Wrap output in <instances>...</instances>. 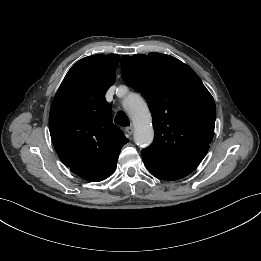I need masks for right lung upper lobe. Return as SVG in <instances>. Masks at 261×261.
<instances>
[{
	"mask_svg": "<svg viewBox=\"0 0 261 261\" xmlns=\"http://www.w3.org/2000/svg\"><path fill=\"white\" fill-rule=\"evenodd\" d=\"M118 64L117 54L79 60L66 74L50 109L49 130L60 160L91 182L115 171L120 150L128 142L113 123L105 100Z\"/></svg>",
	"mask_w": 261,
	"mask_h": 261,
	"instance_id": "1",
	"label": "right lung upper lobe"
}]
</instances>
